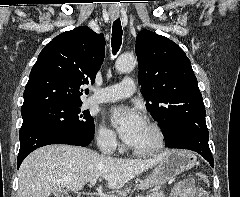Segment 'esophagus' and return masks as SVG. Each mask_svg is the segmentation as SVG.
I'll return each instance as SVG.
<instances>
[{"mask_svg": "<svg viewBox=\"0 0 240 197\" xmlns=\"http://www.w3.org/2000/svg\"><path fill=\"white\" fill-rule=\"evenodd\" d=\"M110 17H111L112 20H115L119 17V13L118 12H112L110 14Z\"/></svg>", "mask_w": 240, "mask_h": 197, "instance_id": "34e87169", "label": "esophagus"}]
</instances>
